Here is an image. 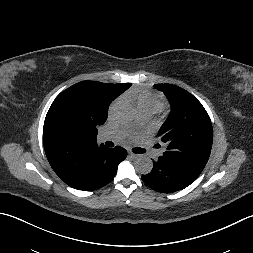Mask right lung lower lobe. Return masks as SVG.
Masks as SVG:
<instances>
[{"label": "right lung lower lobe", "mask_w": 253, "mask_h": 253, "mask_svg": "<svg viewBox=\"0 0 253 253\" xmlns=\"http://www.w3.org/2000/svg\"><path fill=\"white\" fill-rule=\"evenodd\" d=\"M127 156L122 147L104 145L79 148L49 160L55 173L67 185L84 191L99 189L114 178L118 164Z\"/></svg>", "instance_id": "1"}]
</instances>
